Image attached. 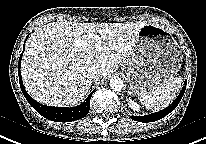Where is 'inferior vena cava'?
<instances>
[{"label": "inferior vena cava", "mask_w": 206, "mask_h": 144, "mask_svg": "<svg viewBox=\"0 0 206 144\" xmlns=\"http://www.w3.org/2000/svg\"><path fill=\"white\" fill-rule=\"evenodd\" d=\"M102 77L101 72L99 69L96 68H90L88 70L87 73V78L91 81V82H97L100 80V78Z\"/></svg>", "instance_id": "1"}]
</instances>
